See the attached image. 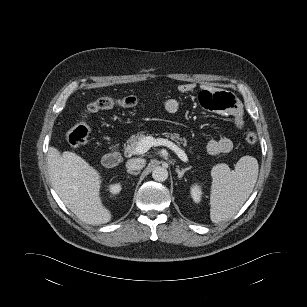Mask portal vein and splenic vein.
<instances>
[{"mask_svg":"<svg viewBox=\"0 0 307 307\" xmlns=\"http://www.w3.org/2000/svg\"><path fill=\"white\" fill-rule=\"evenodd\" d=\"M166 146L173 150L176 155L183 161L187 162L188 157L186 153L180 149L177 145H175L173 142L169 141L168 139L163 138H157L155 139L152 136H146L144 137L140 142H138L136 147L137 154H144L146 153L152 146Z\"/></svg>","mask_w":307,"mask_h":307,"instance_id":"1","label":"portal vein and splenic vein"}]
</instances>
